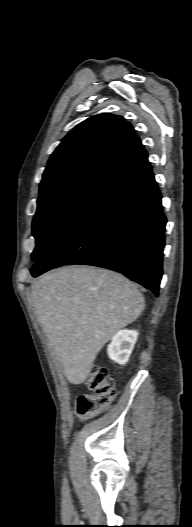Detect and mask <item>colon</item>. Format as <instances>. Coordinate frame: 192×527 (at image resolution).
I'll return each mask as SVG.
<instances>
[{
	"mask_svg": "<svg viewBox=\"0 0 192 527\" xmlns=\"http://www.w3.org/2000/svg\"><path fill=\"white\" fill-rule=\"evenodd\" d=\"M84 383L91 393L77 399L76 414L81 419H91L112 402L115 386L107 368L102 365H93Z\"/></svg>",
	"mask_w": 192,
	"mask_h": 527,
	"instance_id": "colon-1",
	"label": "colon"
}]
</instances>
